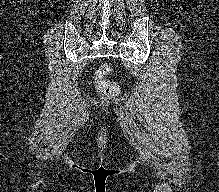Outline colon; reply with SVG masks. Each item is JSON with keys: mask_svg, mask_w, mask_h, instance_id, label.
I'll return each mask as SVG.
<instances>
[{"mask_svg": "<svg viewBox=\"0 0 219 192\" xmlns=\"http://www.w3.org/2000/svg\"><path fill=\"white\" fill-rule=\"evenodd\" d=\"M112 72V67L108 64L101 65L95 73V85L100 94L105 97L115 98L121 93L120 85L107 79Z\"/></svg>", "mask_w": 219, "mask_h": 192, "instance_id": "1", "label": "colon"}]
</instances>
